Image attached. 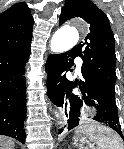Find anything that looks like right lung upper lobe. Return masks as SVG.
Segmentation results:
<instances>
[{
	"instance_id": "cb5924a9",
	"label": "right lung upper lobe",
	"mask_w": 124,
	"mask_h": 149,
	"mask_svg": "<svg viewBox=\"0 0 124 149\" xmlns=\"http://www.w3.org/2000/svg\"><path fill=\"white\" fill-rule=\"evenodd\" d=\"M33 17L25 3L0 14V51L23 48L31 43Z\"/></svg>"
}]
</instances>
